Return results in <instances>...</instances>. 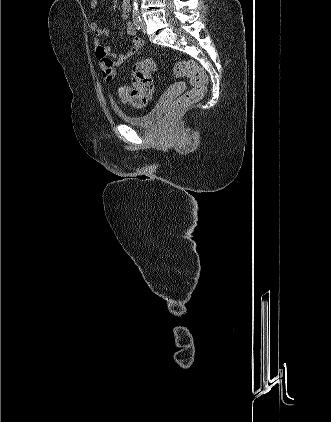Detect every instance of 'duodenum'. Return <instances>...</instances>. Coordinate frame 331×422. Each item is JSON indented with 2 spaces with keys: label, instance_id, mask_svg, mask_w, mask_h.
Returning a JSON list of instances; mask_svg holds the SVG:
<instances>
[{
  "label": "duodenum",
  "instance_id": "obj_1",
  "mask_svg": "<svg viewBox=\"0 0 331 422\" xmlns=\"http://www.w3.org/2000/svg\"><path fill=\"white\" fill-rule=\"evenodd\" d=\"M123 1L126 2V3H129L130 0H123Z\"/></svg>",
  "mask_w": 331,
  "mask_h": 422
}]
</instances>
